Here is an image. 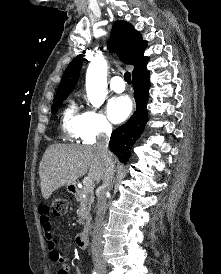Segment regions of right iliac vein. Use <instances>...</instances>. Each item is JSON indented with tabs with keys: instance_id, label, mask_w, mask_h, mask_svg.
Listing matches in <instances>:
<instances>
[{
	"instance_id": "obj_1",
	"label": "right iliac vein",
	"mask_w": 221,
	"mask_h": 274,
	"mask_svg": "<svg viewBox=\"0 0 221 274\" xmlns=\"http://www.w3.org/2000/svg\"><path fill=\"white\" fill-rule=\"evenodd\" d=\"M98 274H106V268L102 265L97 266Z\"/></svg>"
}]
</instances>
